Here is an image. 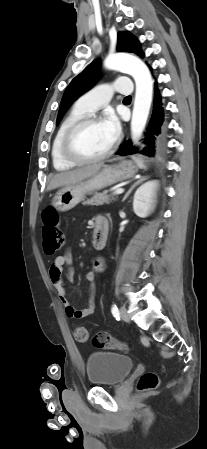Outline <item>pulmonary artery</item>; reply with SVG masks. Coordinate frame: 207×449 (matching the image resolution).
Masks as SVG:
<instances>
[{"label":"pulmonary artery","mask_w":207,"mask_h":449,"mask_svg":"<svg viewBox=\"0 0 207 449\" xmlns=\"http://www.w3.org/2000/svg\"><path fill=\"white\" fill-rule=\"evenodd\" d=\"M115 92L125 95L131 94L132 85L129 79L125 78L115 83L97 85L76 102V107L85 113H93L107 104Z\"/></svg>","instance_id":"pulmonary-artery-1"}]
</instances>
